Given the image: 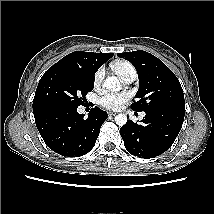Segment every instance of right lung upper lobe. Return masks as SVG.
I'll return each instance as SVG.
<instances>
[{"instance_id":"obj_1","label":"right lung upper lobe","mask_w":214,"mask_h":214,"mask_svg":"<svg viewBox=\"0 0 214 214\" xmlns=\"http://www.w3.org/2000/svg\"><path fill=\"white\" fill-rule=\"evenodd\" d=\"M112 56V53L75 51L63 57L54 66L79 68L94 74Z\"/></svg>"}]
</instances>
